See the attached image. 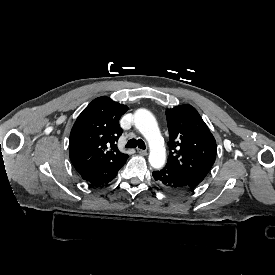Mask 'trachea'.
<instances>
[{"instance_id":"3493384b","label":"trachea","mask_w":275,"mask_h":275,"mask_svg":"<svg viewBox=\"0 0 275 275\" xmlns=\"http://www.w3.org/2000/svg\"><path fill=\"white\" fill-rule=\"evenodd\" d=\"M126 147L127 148L139 147L140 149H145L146 145L141 139H130L126 144Z\"/></svg>"}]
</instances>
